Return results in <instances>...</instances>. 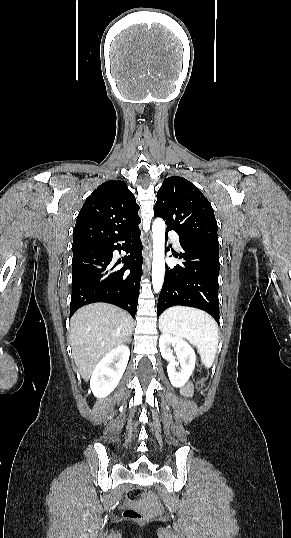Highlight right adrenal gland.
I'll return each instance as SVG.
<instances>
[{
    "mask_svg": "<svg viewBox=\"0 0 291 538\" xmlns=\"http://www.w3.org/2000/svg\"><path fill=\"white\" fill-rule=\"evenodd\" d=\"M127 342L130 343V342H131V338H130Z\"/></svg>",
    "mask_w": 291,
    "mask_h": 538,
    "instance_id": "1",
    "label": "right adrenal gland"
}]
</instances>
